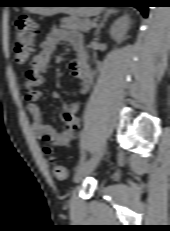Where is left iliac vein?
<instances>
[{
  "instance_id": "obj_1",
  "label": "left iliac vein",
  "mask_w": 170,
  "mask_h": 231,
  "mask_svg": "<svg viewBox=\"0 0 170 231\" xmlns=\"http://www.w3.org/2000/svg\"><path fill=\"white\" fill-rule=\"evenodd\" d=\"M106 151V145H103L100 150L88 161H86L83 165L79 166L76 169L75 175H74V182L79 183L84 178H86L89 174L92 173V171L97 167L100 160L104 156Z\"/></svg>"
}]
</instances>
